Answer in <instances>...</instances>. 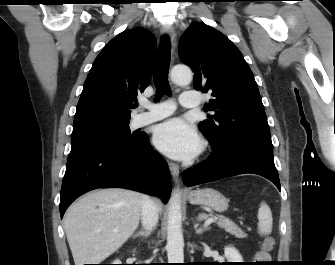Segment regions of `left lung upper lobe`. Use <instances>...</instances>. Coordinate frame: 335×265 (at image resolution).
<instances>
[{
  "label": "left lung upper lobe",
  "mask_w": 335,
  "mask_h": 265,
  "mask_svg": "<svg viewBox=\"0 0 335 265\" xmlns=\"http://www.w3.org/2000/svg\"><path fill=\"white\" fill-rule=\"evenodd\" d=\"M179 50L194 72V88L212 96L205 110L215 114L199 123L210 143L251 140L272 146L257 83L239 49L213 27L194 23Z\"/></svg>",
  "instance_id": "1"
}]
</instances>
